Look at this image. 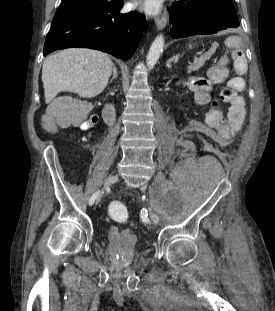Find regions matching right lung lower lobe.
I'll return each instance as SVG.
<instances>
[{"instance_id": "obj_1", "label": "right lung lower lobe", "mask_w": 275, "mask_h": 311, "mask_svg": "<svg viewBox=\"0 0 275 311\" xmlns=\"http://www.w3.org/2000/svg\"><path fill=\"white\" fill-rule=\"evenodd\" d=\"M122 1L54 19L43 55L64 48L83 47L129 59L139 45L146 19L138 12L120 14Z\"/></svg>"}]
</instances>
